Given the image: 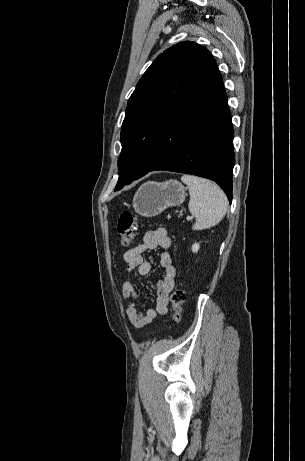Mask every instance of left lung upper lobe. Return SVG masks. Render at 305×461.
<instances>
[{
    "mask_svg": "<svg viewBox=\"0 0 305 461\" xmlns=\"http://www.w3.org/2000/svg\"><path fill=\"white\" fill-rule=\"evenodd\" d=\"M214 63L207 49L184 41L165 50L146 70L128 100L115 190L146 174L165 125Z\"/></svg>",
    "mask_w": 305,
    "mask_h": 461,
    "instance_id": "5c2ea615",
    "label": "left lung upper lobe"
}]
</instances>
